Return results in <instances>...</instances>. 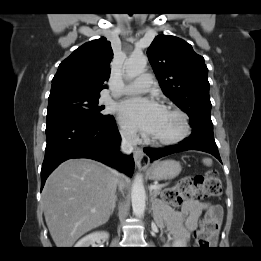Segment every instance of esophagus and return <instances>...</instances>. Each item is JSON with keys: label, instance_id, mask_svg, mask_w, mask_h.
<instances>
[{"label": "esophagus", "instance_id": "1", "mask_svg": "<svg viewBox=\"0 0 261 261\" xmlns=\"http://www.w3.org/2000/svg\"><path fill=\"white\" fill-rule=\"evenodd\" d=\"M134 161L138 169L142 170L148 167L149 157L144 153L142 148H135Z\"/></svg>", "mask_w": 261, "mask_h": 261}]
</instances>
